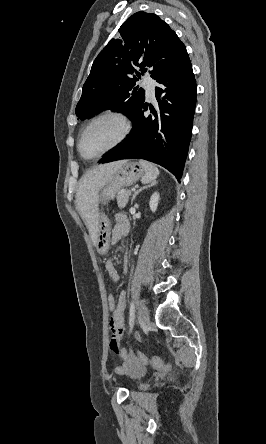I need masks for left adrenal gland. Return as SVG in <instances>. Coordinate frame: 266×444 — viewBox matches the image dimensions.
<instances>
[{
    "instance_id": "obj_1",
    "label": "left adrenal gland",
    "mask_w": 266,
    "mask_h": 444,
    "mask_svg": "<svg viewBox=\"0 0 266 444\" xmlns=\"http://www.w3.org/2000/svg\"><path fill=\"white\" fill-rule=\"evenodd\" d=\"M156 184H157V182L154 180V181L151 182V184L146 185V186H143V187H141L140 189H138V190L133 194V196H132L131 204H133L134 199L136 198V196H137L142 190L147 189V188H149V187H152V186H154V185H156Z\"/></svg>"
}]
</instances>
